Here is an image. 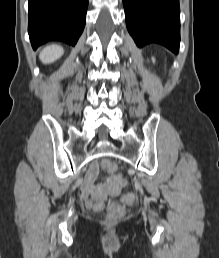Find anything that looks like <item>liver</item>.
Instances as JSON below:
<instances>
[{
	"instance_id": "obj_1",
	"label": "liver",
	"mask_w": 219,
	"mask_h": 258,
	"mask_svg": "<svg viewBox=\"0 0 219 258\" xmlns=\"http://www.w3.org/2000/svg\"><path fill=\"white\" fill-rule=\"evenodd\" d=\"M64 53V50L59 45H50L45 47L39 55L40 60L44 64H50L59 59Z\"/></svg>"
}]
</instances>
